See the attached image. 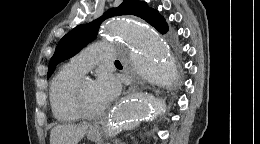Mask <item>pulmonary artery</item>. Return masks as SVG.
Segmentation results:
<instances>
[{"label":"pulmonary artery","mask_w":260,"mask_h":144,"mask_svg":"<svg viewBox=\"0 0 260 144\" xmlns=\"http://www.w3.org/2000/svg\"><path fill=\"white\" fill-rule=\"evenodd\" d=\"M116 59L112 45L108 43H97L87 47L76 54L71 63L81 72L90 71L98 62H112Z\"/></svg>","instance_id":"e3ab8cb5"}]
</instances>
